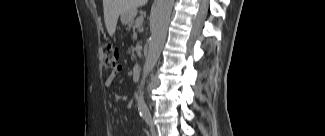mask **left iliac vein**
Wrapping results in <instances>:
<instances>
[{"instance_id":"1","label":"left iliac vein","mask_w":325,"mask_h":136,"mask_svg":"<svg viewBox=\"0 0 325 136\" xmlns=\"http://www.w3.org/2000/svg\"><path fill=\"white\" fill-rule=\"evenodd\" d=\"M151 134L153 135V136H157V129H156V127L152 124V126H151Z\"/></svg>"}]
</instances>
